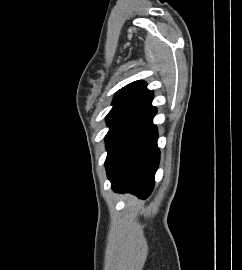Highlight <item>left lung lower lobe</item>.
Masks as SVG:
<instances>
[{
  "label": "left lung lower lobe",
  "instance_id": "obj_1",
  "mask_svg": "<svg viewBox=\"0 0 242 270\" xmlns=\"http://www.w3.org/2000/svg\"><path fill=\"white\" fill-rule=\"evenodd\" d=\"M153 95L120 119L105 137L107 176L116 192L146 198L152 191L160 152L152 119Z\"/></svg>",
  "mask_w": 242,
  "mask_h": 270
}]
</instances>
